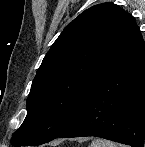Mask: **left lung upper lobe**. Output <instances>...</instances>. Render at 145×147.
<instances>
[{
	"label": "left lung upper lobe",
	"mask_w": 145,
	"mask_h": 147,
	"mask_svg": "<svg viewBox=\"0 0 145 147\" xmlns=\"http://www.w3.org/2000/svg\"><path fill=\"white\" fill-rule=\"evenodd\" d=\"M127 15L113 3H102L64 28L33 80L27 116L11 139L14 147L49 142L71 126Z\"/></svg>",
	"instance_id": "left-lung-upper-lobe-1"
}]
</instances>
